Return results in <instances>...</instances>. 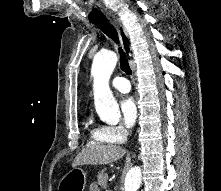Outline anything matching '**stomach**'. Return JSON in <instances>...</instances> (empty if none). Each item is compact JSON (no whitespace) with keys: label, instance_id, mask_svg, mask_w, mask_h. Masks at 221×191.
I'll use <instances>...</instances> for the list:
<instances>
[{"label":"stomach","instance_id":"0dacf381","mask_svg":"<svg viewBox=\"0 0 221 191\" xmlns=\"http://www.w3.org/2000/svg\"><path fill=\"white\" fill-rule=\"evenodd\" d=\"M86 173L81 168L70 170L59 182L58 191H84Z\"/></svg>","mask_w":221,"mask_h":191}]
</instances>
